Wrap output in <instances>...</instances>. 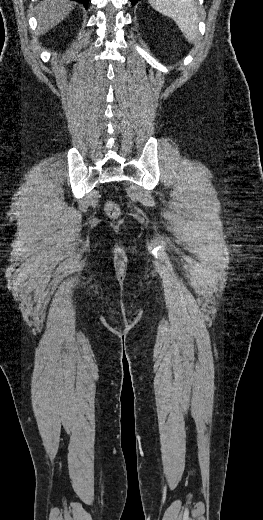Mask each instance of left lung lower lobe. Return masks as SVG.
<instances>
[{
  "instance_id": "1",
  "label": "left lung lower lobe",
  "mask_w": 263,
  "mask_h": 520,
  "mask_svg": "<svg viewBox=\"0 0 263 520\" xmlns=\"http://www.w3.org/2000/svg\"><path fill=\"white\" fill-rule=\"evenodd\" d=\"M139 0H131V3L135 5Z\"/></svg>"
}]
</instances>
